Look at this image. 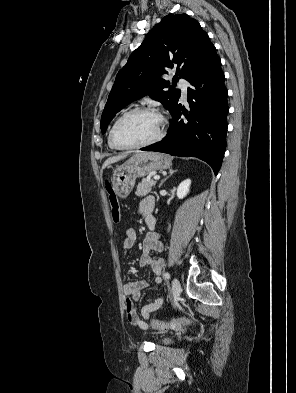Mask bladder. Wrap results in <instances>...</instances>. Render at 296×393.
I'll list each match as a JSON object with an SVG mask.
<instances>
[{
    "label": "bladder",
    "mask_w": 296,
    "mask_h": 393,
    "mask_svg": "<svg viewBox=\"0 0 296 393\" xmlns=\"http://www.w3.org/2000/svg\"><path fill=\"white\" fill-rule=\"evenodd\" d=\"M173 342V338L170 336H163L160 338V343L163 345H169Z\"/></svg>",
    "instance_id": "31cf9c89"
}]
</instances>
